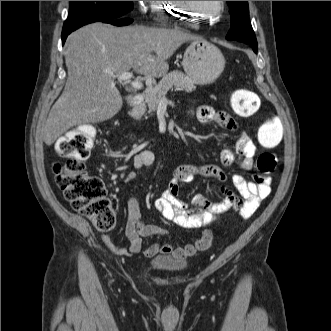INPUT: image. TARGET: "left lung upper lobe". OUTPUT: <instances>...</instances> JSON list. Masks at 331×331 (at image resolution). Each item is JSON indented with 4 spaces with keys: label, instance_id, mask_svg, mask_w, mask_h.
<instances>
[{
    "label": "left lung upper lobe",
    "instance_id": "left-lung-upper-lobe-1",
    "mask_svg": "<svg viewBox=\"0 0 331 331\" xmlns=\"http://www.w3.org/2000/svg\"><path fill=\"white\" fill-rule=\"evenodd\" d=\"M227 3L231 14V28L226 39L256 44V37L249 21L247 1H227Z\"/></svg>",
    "mask_w": 331,
    "mask_h": 331
}]
</instances>
